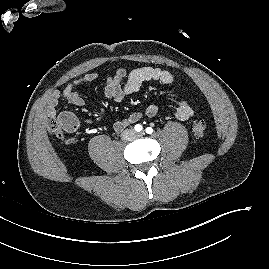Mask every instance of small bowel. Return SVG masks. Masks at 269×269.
I'll list each match as a JSON object with an SVG mask.
<instances>
[{
	"label": "small bowel",
	"instance_id": "1",
	"mask_svg": "<svg viewBox=\"0 0 269 269\" xmlns=\"http://www.w3.org/2000/svg\"><path fill=\"white\" fill-rule=\"evenodd\" d=\"M99 79V74L94 72L87 73L70 82L62 91H53L48 98L47 113L49 115H55L56 107L61 98L72 105L83 106L85 103L84 98L78 93L76 87ZM148 81H157L164 85H170L174 82V76L167 70L150 66L139 67L130 72L120 67L116 70L114 75L105 78L104 96L115 102H121L127 96L138 92L143 83ZM157 113L158 107L156 105H149L145 110V115L148 117H154ZM193 113L192 99H181L175 113L176 118L179 121H187L192 117ZM142 117V112H132L125 119L115 122L113 129L117 133L122 132L128 125L140 121ZM87 123H91V121L87 120Z\"/></svg>",
	"mask_w": 269,
	"mask_h": 269
}]
</instances>
